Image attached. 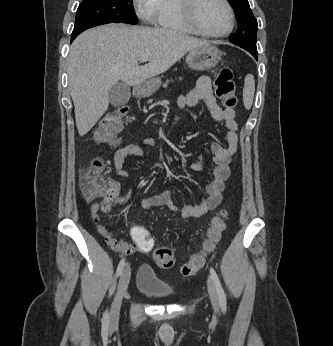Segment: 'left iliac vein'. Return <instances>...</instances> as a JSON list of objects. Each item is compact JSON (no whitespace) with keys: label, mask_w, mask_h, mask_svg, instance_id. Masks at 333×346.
<instances>
[{"label":"left iliac vein","mask_w":333,"mask_h":346,"mask_svg":"<svg viewBox=\"0 0 333 346\" xmlns=\"http://www.w3.org/2000/svg\"><path fill=\"white\" fill-rule=\"evenodd\" d=\"M208 293L214 310H218V294L211 280L207 281Z\"/></svg>","instance_id":"left-iliac-vein-1"}]
</instances>
